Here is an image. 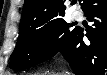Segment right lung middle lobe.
<instances>
[{
  "label": "right lung middle lobe",
  "instance_id": "1",
  "mask_svg": "<svg viewBox=\"0 0 107 75\" xmlns=\"http://www.w3.org/2000/svg\"><path fill=\"white\" fill-rule=\"evenodd\" d=\"M71 26L63 18L43 25H20L10 67L22 70L52 58L75 35L78 28L70 29Z\"/></svg>",
  "mask_w": 107,
  "mask_h": 75
}]
</instances>
